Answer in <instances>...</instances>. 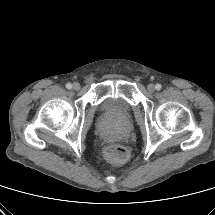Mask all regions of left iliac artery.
<instances>
[{
	"label": "left iliac artery",
	"instance_id": "44dca946",
	"mask_svg": "<svg viewBox=\"0 0 215 215\" xmlns=\"http://www.w3.org/2000/svg\"><path fill=\"white\" fill-rule=\"evenodd\" d=\"M161 88H162L161 84H156V85H155V89H156V90H160Z\"/></svg>",
	"mask_w": 215,
	"mask_h": 215
}]
</instances>
